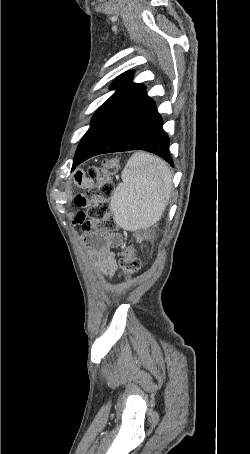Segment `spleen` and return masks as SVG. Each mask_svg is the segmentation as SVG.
Here are the masks:
<instances>
[{
    "instance_id": "obj_1",
    "label": "spleen",
    "mask_w": 250,
    "mask_h": 454,
    "mask_svg": "<svg viewBox=\"0 0 250 454\" xmlns=\"http://www.w3.org/2000/svg\"><path fill=\"white\" fill-rule=\"evenodd\" d=\"M171 190L167 164L148 153H134L111 197L115 223L132 232L154 225L165 211Z\"/></svg>"
}]
</instances>
